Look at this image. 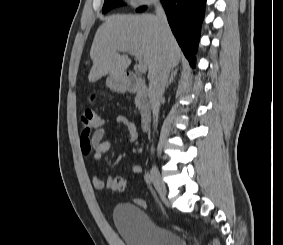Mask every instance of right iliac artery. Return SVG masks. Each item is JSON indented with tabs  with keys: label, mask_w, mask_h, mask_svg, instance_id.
I'll return each instance as SVG.
<instances>
[{
	"label": "right iliac artery",
	"mask_w": 283,
	"mask_h": 245,
	"mask_svg": "<svg viewBox=\"0 0 283 245\" xmlns=\"http://www.w3.org/2000/svg\"><path fill=\"white\" fill-rule=\"evenodd\" d=\"M144 179H145V182L147 183V185L149 187L152 186V177L149 173H146L145 176H144Z\"/></svg>",
	"instance_id": "obj_1"
}]
</instances>
